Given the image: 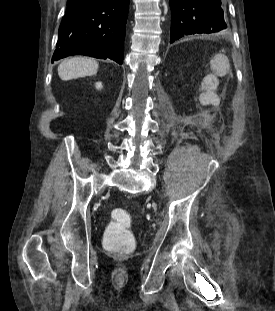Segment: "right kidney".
<instances>
[{
	"instance_id": "1",
	"label": "right kidney",
	"mask_w": 275,
	"mask_h": 311,
	"mask_svg": "<svg viewBox=\"0 0 275 311\" xmlns=\"http://www.w3.org/2000/svg\"><path fill=\"white\" fill-rule=\"evenodd\" d=\"M95 87H96V89H102V83L101 82H97L96 84H95Z\"/></svg>"
}]
</instances>
